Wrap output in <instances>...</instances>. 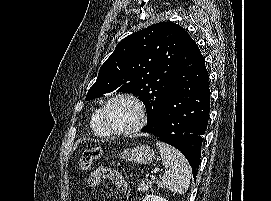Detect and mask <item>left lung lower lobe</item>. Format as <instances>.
I'll use <instances>...</instances> for the list:
<instances>
[{
	"label": "left lung lower lobe",
	"instance_id": "obj_1",
	"mask_svg": "<svg viewBox=\"0 0 271 201\" xmlns=\"http://www.w3.org/2000/svg\"><path fill=\"white\" fill-rule=\"evenodd\" d=\"M205 60L195 41L185 31L179 65L151 133L182 152L194 178L200 163L201 145L210 112V90Z\"/></svg>",
	"mask_w": 271,
	"mask_h": 201
}]
</instances>
